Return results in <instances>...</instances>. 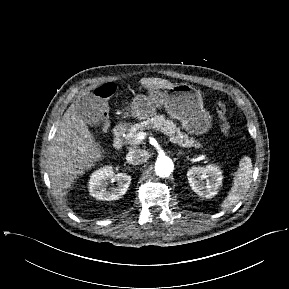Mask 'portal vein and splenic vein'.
<instances>
[{"mask_svg": "<svg viewBox=\"0 0 289 289\" xmlns=\"http://www.w3.org/2000/svg\"><path fill=\"white\" fill-rule=\"evenodd\" d=\"M147 135H148V133L140 131V132L137 134L136 139H137L138 141H142L143 139H145V137H146Z\"/></svg>", "mask_w": 289, "mask_h": 289, "instance_id": "portal-vein-and-splenic-vein-1", "label": "portal vein and splenic vein"}]
</instances>
